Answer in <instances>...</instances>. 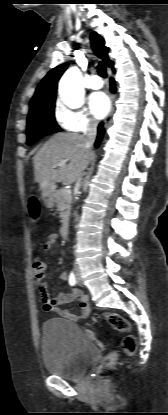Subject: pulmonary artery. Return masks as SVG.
<instances>
[{
  "label": "pulmonary artery",
  "instance_id": "pulmonary-artery-1",
  "mask_svg": "<svg viewBox=\"0 0 168 415\" xmlns=\"http://www.w3.org/2000/svg\"><path fill=\"white\" fill-rule=\"evenodd\" d=\"M89 86L94 90L101 89L103 87V81L99 75L94 74L89 79Z\"/></svg>",
  "mask_w": 168,
  "mask_h": 415
}]
</instances>
